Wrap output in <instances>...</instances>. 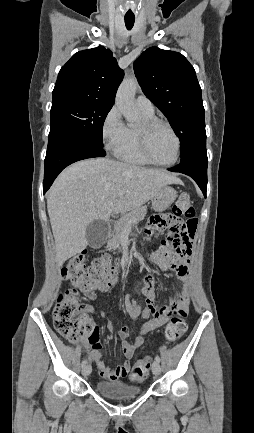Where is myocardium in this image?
<instances>
[{"label":"myocardium","mask_w":254,"mask_h":433,"mask_svg":"<svg viewBox=\"0 0 254 433\" xmlns=\"http://www.w3.org/2000/svg\"><path fill=\"white\" fill-rule=\"evenodd\" d=\"M165 127L174 137L175 141H176V155L175 158L168 163H162L157 161L151 151H150V147H149V136L150 133L157 127ZM137 137H138V142H139V147H140V151L142 153V155L144 156V158L153 165L156 166H160V167H171L173 165H175L181 155V141L180 138L178 136V134L176 133V131L172 128V126L161 120L158 118H154V119H144L142 125L140 128L137 129Z\"/></svg>","instance_id":"obj_1"}]
</instances>
